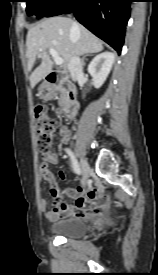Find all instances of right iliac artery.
Listing matches in <instances>:
<instances>
[{"mask_svg": "<svg viewBox=\"0 0 158 275\" xmlns=\"http://www.w3.org/2000/svg\"><path fill=\"white\" fill-rule=\"evenodd\" d=\"M66 153L70 156L71 162H72V168L74 170V172L78 175H81V169L80 166L74 156V154L72 153V151L69 148L65 149Z\"/></svg>", "mask_w": 158, "mask_h": 275, "instance_id": "right-iliac-artery-1", "label": "right iliac artery"}]
</instances>
